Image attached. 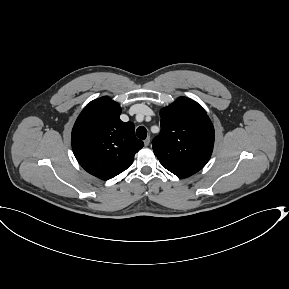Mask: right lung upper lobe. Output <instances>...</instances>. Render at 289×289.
<instances>
[{
    "label": "right lung upper lobe",
    "mask_w": 289,
    "mask_h": 289,
    "mask_svg": "<svg viewBox=\"0 0 289 289\" xmlns=\"http://www.w3.org/2000/svg\"><path fill=\"white\" fill-rule=\"evenodd\" d=\"M121 107L104 96L91 101L72 130V148L79 164L90 174L108 180L130 167L144 143L132 122L119 118Z\"/></svg>",
    "instance_id": "cb5924a9"
}]
</instances>
